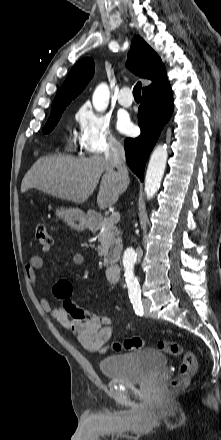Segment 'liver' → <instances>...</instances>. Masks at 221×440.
<instances>
[{"instance_id":"1","label":"liver","mask_w":221,"mask_h":440,"mask_svg":"<svg viewBox=\"0 0 221 440\" xmlns=\"http://www.w3.org/2000/svg\"><path fill=\"white\" fill-rule=\"evenodd\" d=\"M101 179V180H100ZM97 204L100 209L114 205L126 183L102 156L75 159L72 157H41L24 176L21 192L35 188L52 196L84 203L99 184Z\"/></svg>"}]
</instances>
